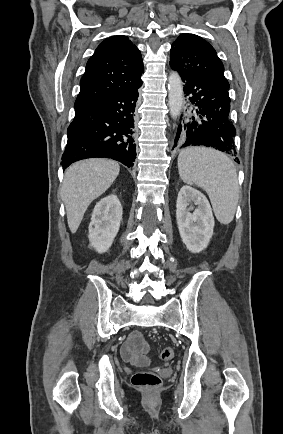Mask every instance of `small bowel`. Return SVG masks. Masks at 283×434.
Segmentation results:
<instances>
[{"label": "small bowel", "instance_id": "obj_1", "mask_svg": "<svg viewBox=\"0 0 283 434\" xmlns=\"http://www.w3.org/2000/svg\"><path fill=\"white\" fill-rule=\"evenodd\" d=\"M148 344L139 331L132 332L121 347V355L126 360L133 364L144 366L149 363L146 356Z\"/></svg>", "mask_w": 283, "mask_h": 434}]
</instances>
